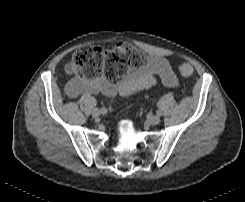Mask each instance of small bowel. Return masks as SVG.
I'll return each mask as SVG.
<instances>
[{
	"instance_id": "obj_1",
	"label": "small bowel",
	"mask_w": 245,
	"mask_h": 202,
	"mask_svg": "<svg viewBox=\"0 0 245 202\" xmlns=\"http://www.w3.org/2000/svg\"><path fill=\"white\" fill-rule=\"evenodd\" d=\"M157 79L169 88L179 86L177 76L161 56H149L146 64L131 71L123 80L111 82L105 77L93 80L77 78L71 81L69 97L76 99L81 95L102 93L116 99L152 87Z\"/></svg>"
}]
</instances>
